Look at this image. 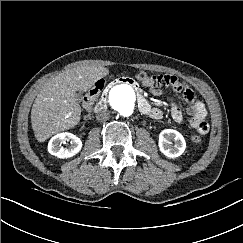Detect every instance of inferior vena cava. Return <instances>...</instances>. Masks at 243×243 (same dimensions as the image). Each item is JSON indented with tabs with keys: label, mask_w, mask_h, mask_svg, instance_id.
I'll list each match as a JSON object with an SVG mask.
<instances>
[{
	"label": "inferior vena cava",
	"mask_w": 243,
	"mask_h": 243,
	"mask_svg": "<svg viewBox=\"0 0 243 243\" xmlns=\"http://www.w3.org/2000/svg\"><path fill=\"white\" fill-rule=\"evenodd\" d=\"M109 115H110L109 111H107L106 109H102L97 112L96 118L98 121L103 122V121H107L109 119Z\"/></svg>",
	"instance_id": "1"
}]
</instances>
